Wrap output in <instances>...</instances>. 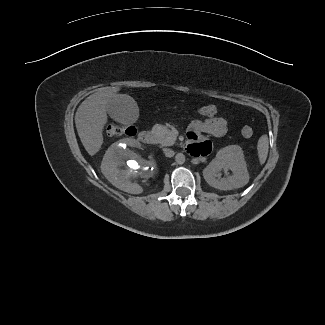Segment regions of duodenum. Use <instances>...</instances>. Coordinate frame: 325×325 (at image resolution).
Here are the masks:
<instances>
[{"label":"duodenum","instance_id":"duodenum-1","mask_svg":"<svg viewBox=\"0 0 325 325\" xmlns=\"http://www.w3.org/2000/svg\"><path fill=\"white\" fill-rule=\"evenodd\" d=\"M138 140L143 144H151L153 142V134L150 131H141Z\"/></svg>","mask_w":325,"mask_h":325}]
</instances>
